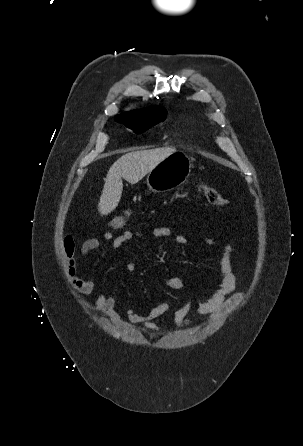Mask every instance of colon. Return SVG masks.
I'll return each mask as SVG.
<instances>
[{"instance_id": "obj_1", "label": "colon", "mask_w": 303, "mask_h": 446, "mask_svg": "<svg viewBox=\"0 0 303 446\" xmlns=\"http://www.w3.org/2000/svg\"><path fill=\"white\" fill-rule=\"evenodd\" d=\"M199 192L205 198V200L214 206H227L228 200L221 195L216 189L207 186H200ZM132 212L126 211L114 217L108 224V227L112 230H118L124 227L130 220Z\"/></svg>"}]
</instances>
